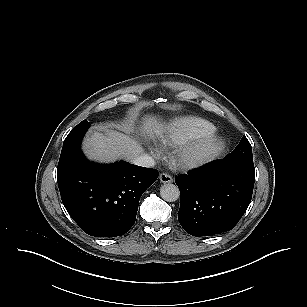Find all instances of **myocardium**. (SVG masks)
Instances as JSON below:
<instances>
[{"label":"myocardium","instance_id":"1","mask_svg":"<svg viewBox=\"0 0 307 307\" xmlns=\"http://www.w3.org/2000/svg\"><path fill=\"white\" fill-rule=\"evenodd\" d=\"M224 139L212 133L190 141L174 156L176 166L183 170H193L214 161L224 150Z\"/></svg>","mask_w":307,"mask_h":307}]
</instances>
